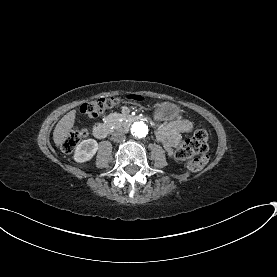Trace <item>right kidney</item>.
<instances>
[{
  "label": "right kidney",
  "instance_id": "right-kidney-1",
  "mask_svg": "<svg viewBox=\"0 0 277 277\" xmlns=\"http://www.w3.org/2000/svg\"><path fill=\"white\" fill-rule=\"evenodd\" d=\"M98 150V143L94 139L83 140L76 146L74 160L82 163L90 160Z\"/></svg>",
  "mask_w": 277,
  "mask_h": 277
}]
</instances>
